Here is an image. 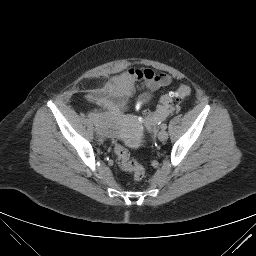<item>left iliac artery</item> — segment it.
<instances>
[{
    "label": "left iliac artery",
    "mask_w": 256,
    "mask_h": 256,
    "mask_svg": "<svg viewBox=\"0 0 256 256\" xmlns=\"http://www.w3.org/2000/svg\"><path fill=\"white\" fill-rule=\"evenodd\" d=\"M161 128H162V129H166V128H167V125H166L165 123H162V124H161Z\"/></svg>",
    "instance_id": "obj_1"
}]
</instances>
